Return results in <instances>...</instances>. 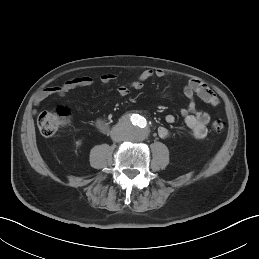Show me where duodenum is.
<instances>
[{
    "label": "duodenum",
    "instance_id": "410a0bca",
    "mask_svg": "<svg viewBox=\"0 0 259 259\" xmlns=\"http://www.w3.org/2000/svg\"><path fill=\"white\" fill-rule=\"evenodd\" d=\"M98 127H99V129H101V130H106V129H107V125H106V124H103V123H99V124H98Z\"/></svg>",
    "mask_w": 259,
    "mask_h": 259
}]
</instances>
